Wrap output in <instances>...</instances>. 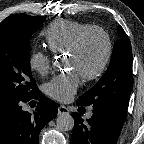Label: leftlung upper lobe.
Segmentation results:
<instances>
[{
    "instance_id": "1",
    "label": "left lung upper lobe",
    "mask_w": 144,
    "mask_h": 144,
    "mask_svg": "<svg viewBox=\"0 0 144 144\" xmlns=\"http://www.w3.org/2000/svg\"><path fill=\"white\" fill-rule=\"evenodd\" d=\"M119 39L113 49L111 63L103 77L77 101L81 106H108L127 114L133 87L132 49L127 34L121 26Z\"/></svg>"
}]
</instances>
